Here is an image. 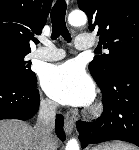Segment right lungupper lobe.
<instances>
[{
	"label": "right lung upper lobe",
	"mask_w": 139,
	"mask_h": 150,
	"mask_svg": "<svg viewBox=\"0 0 139 150\" xmlns=\"http://www.w3.org/2000/svg\"><path fill=\"white\" fill-rule=\"evenodd\" d=\"M52 0H0V47L31 52L30 40L40 34Z\"/></svg>",
	"instance_id": "1"
}]
</instances>
